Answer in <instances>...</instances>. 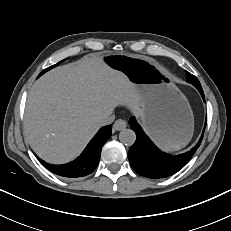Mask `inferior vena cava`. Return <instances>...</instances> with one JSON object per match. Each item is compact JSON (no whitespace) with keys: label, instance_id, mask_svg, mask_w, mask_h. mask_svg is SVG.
<instances>
[{"label":"inferior vena cava","instance_id":"602c4592","mask_svg":"<svg viewBox=\"0 0 231 231\" xmlns=\"http://www.w3.org/2000/svg\"><path fill=\"white\" fill-rule=\"evenodd\" d=\"M115 119V116L113 115V112L104 115L100 120H99V125L100 126H105L108 124H111Z\"/></svg>","mask_w":231,"mask_h":231}]
</instances>
